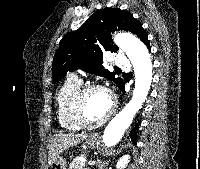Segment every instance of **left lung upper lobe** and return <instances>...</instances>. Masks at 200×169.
I'll list each match as a JSON object with an SVG mask.
<instances>
[{"instance_id": "5c2ea615", "label": "left lung upper lobe", "mask_w": 200, "mask_h": 169, "mask_svg": "<svg viewBox=\"0 0 200 169\" xmlns=\"http://www.w3.org/2000/svg\"><path fill=\"white\" fill-rule=\"evenodd\" d=\"M130 31L144 43L148 37L141 23L131 13L119 8H106L95 12L76 31L67 33L60 41L53 64V83L61 80L67 71L82 69L103 76L119 86L123 80L102 66L105 51L117 52L111 32Z\"/></svg>"}]
</instances>
